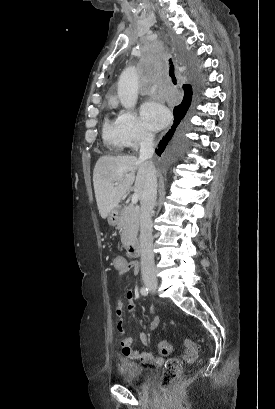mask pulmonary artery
Masks as SVG:
<instances>
[{
  "label": "pulmonary artery",
  "instance_id": "obj_1",
  "mask_svg": "<svg viewBox=\"0 0 275 409\" xmlns=\"http://www.w3.org/2000/svg\"><path fill=\"white\" fill-rule=\"evenodd\" d=\"M151 94H156L157 93V87L156 86H152L151 90H150Z\"/></svg>",
  "mask_w": 275,
  "mask_h": 409
}]
</instances>
